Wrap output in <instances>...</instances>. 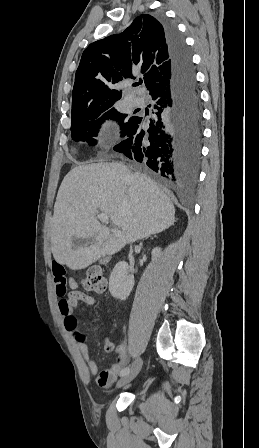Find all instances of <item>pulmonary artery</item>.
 <instances>
[{"mask_svg": "<svg viewBox=\"0 0 259 448\" xmlns=\"http://www.w3.org/2000/svg\"><path fill=\"white\" fill-rule=\"evenodd\" d=\"M133 90L135 91V93L137 94V96L134 98V103L137 105H140L143 103V98L140 97L141 93L139 91H137L136 88H130L128 91Z\"/></svg>", "mask_w": 259, "mask_h": 448, "instance_id": "e3ab8cb5", "label": "pulmonary artery"}]
</instances>
